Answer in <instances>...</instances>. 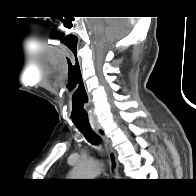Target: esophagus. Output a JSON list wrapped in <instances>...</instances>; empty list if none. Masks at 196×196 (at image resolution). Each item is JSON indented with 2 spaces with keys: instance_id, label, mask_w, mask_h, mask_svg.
<instances>
[{
  "instance_id": "1",
  "label": "esophagus",
  "mask_w": 196,
  "mask_h": 196,
  "mask_svg": "<svg viewBox=\"0 0 196 196\" xmlns=\"http://www.w3.org/2000/svg\"><path fill=\"white\" fill-rule=\"evenodd\" d=\"M94 131L103 139L108 153L110 171L115 179L119 178V163L117 153L113 148L110 139L107 137L105 130L101 126L94 127Z\"/></svg>"
}]
</instances>
